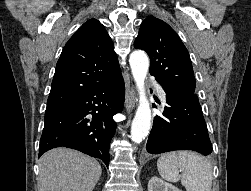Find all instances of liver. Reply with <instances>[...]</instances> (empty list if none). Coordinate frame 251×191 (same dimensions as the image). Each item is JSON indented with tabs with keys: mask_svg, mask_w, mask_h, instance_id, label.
Returning a JSON list of instances; mask_svg holds the SVG:
<instances>
[{
	"mask_svg": "<svg viewBox=\"0 0 251 191\" xmlns=\"http://www.w3.org/2000/svg\"><path fill=\"white\" fill-rule=\"evenodd\" d=\"M97 159L75 149L54 147L39 161V183L42 191H92L100 175Z\"/></svg>",
	"mask_w": 251,
	"mask_h": 191,
	"instance_id": "6515ba94",
	"label": "liver"
}]
</instances>
